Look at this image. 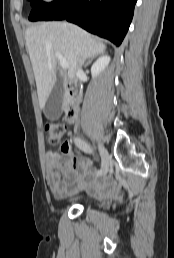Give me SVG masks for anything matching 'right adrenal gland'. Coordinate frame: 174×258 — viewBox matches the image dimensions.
<instances>
[{
	"mask_svg": "<svg viewBox=\"0 0 174 258\" xmlns=\"http://www.w3.org/2000/svg\"><path fill=\"white\" fill-rule=\"evenodd\" d=\"M94 58H95V56H94V57H91V58L87 61V63L85 64V67H87V66L93 61Z\"/></svg>",
	"mask_w": 174,
	"mask_h": 258,
	"instance_id": "1",
	"label": "right adrenal gland"
}]
</instances>
